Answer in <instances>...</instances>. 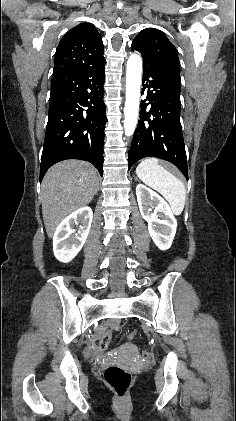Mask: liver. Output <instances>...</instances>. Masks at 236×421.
<instances>
[{
    "instance_id": "obj_1",
    "label": "liver",
    "mask_w": 236,
    "mask_h": 421,
    "mask_svg": "<svg viewBox=\"0 0 236 421\" xmlns=\"http://www.w3.org/2000/svg\"><path fill=\"white\" fill-rule=\"evenodd\" d=\"M98 182L95 166L86 160H61L47 170L41 184V200L49 239L68 215L92 200Z\"/></svg>"
}]
</instances>
